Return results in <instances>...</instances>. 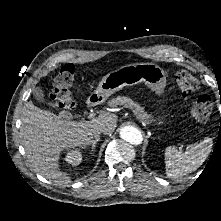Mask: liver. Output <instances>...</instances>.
Here are the masks:
<instances>
[{"mask_svg":"<svg viewBox=\"0 0 221 221\" xmlns=\"http://www.w3.org/2000/svg\"><path fill=\"white\" fill-rule=\"evenodd\" d=\"M117 121V115L109 112H101L90 121H68L29 101L21 117L22 144L37 173L57 184H65L69 177L59 169L61 152L87 146L92 141L94 129L104 128L105 134H111Z\"/></svg>","mask_w":221,"mask_h":221,"instance_id":"6515ba94","label":"liver"}]
</instances>
